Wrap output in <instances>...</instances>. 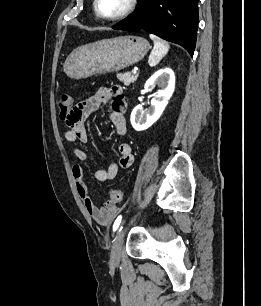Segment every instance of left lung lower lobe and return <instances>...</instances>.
<instances>
[{
  "mask_svg": "<svg viewBox=\"0 0 261 306\" xmlns=\"http://www.w3.org/2000/svg\"><path fill=\"white\" fill-rule=\"evenodd\" d=\"M197 27L198 0H138L137 9L113 29H143L183 46L193 56Z\"/></svg>",
  "mask_w": 261,
  "mask_h": 306,
  "instance_id": "obj_1",
  "label": "left lung lower lobe"
}]
</instances>
